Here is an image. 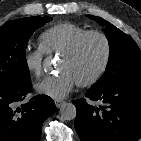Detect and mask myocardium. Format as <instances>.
Wrapping results in <instances>:
<instances>
[{"label": "myocardium", "instance_id": "f54148a6", "mask_svg": "<svg viewBox=\"0 0 141 141\" xmlns=\"http://www.w3.org/2000/svg\"><path fill=\"white\" fill-rule=\"evenodd\" d=\"M90 37L100 38L104 44L105 51L104 57L98 69L87 79L77 82L78 85L82 87L91 86L100 80V78L104 75L107 70L112 54V46L109 37L102 31L88 30L75 40V42L63 53V56L68 58L76 56L85 41Z\"/></svg>", "mask_w": 141, "mask_h": 141}]
</instances>
